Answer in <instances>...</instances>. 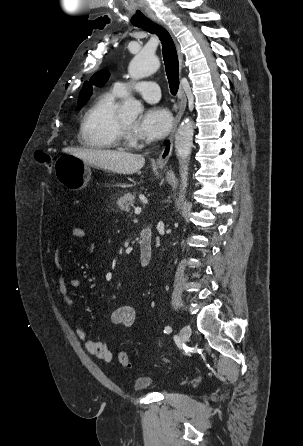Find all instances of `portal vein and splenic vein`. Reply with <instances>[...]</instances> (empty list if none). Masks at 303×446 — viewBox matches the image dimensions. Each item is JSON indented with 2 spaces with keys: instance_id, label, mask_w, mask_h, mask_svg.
Wrapping results in <instances>:
<instances>
[{
  "instance_id": "18ae733b",
  "label": "portal vein and splenic vein",
  "mask_w": 303,
  "mask_h": 446,
  "mask_svg": "<svg viewBox=\"0 0 303 446\" xmlns=\"http://www.w3.org/2000/svg\"><path fill=\"white\" fill-rule=\"evenodd\" d=\"M141 211H142L141 207H136L134 212L135 214H140Z\"/></svg>"
}]
</instances>
